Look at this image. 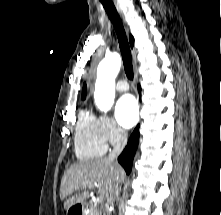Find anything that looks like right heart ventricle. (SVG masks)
<instances>
[{"label":"right heart ventricle","mask_w":221,"mask_h":215,"mask_svg":"<svg viewBox=\"0 0 221 215\" xmlns=\"http://www.w3.org/2000/svg\"><path fill=\"white\" fill-rule=\"evenodd\" d=\"M74 146L76 156L81 160L98 158L106 152L107 146L100 137L97 118L88 111L79 113Z\"/></svg>","instance_id":"right-heart-ventricle-1"}]
</instances>
